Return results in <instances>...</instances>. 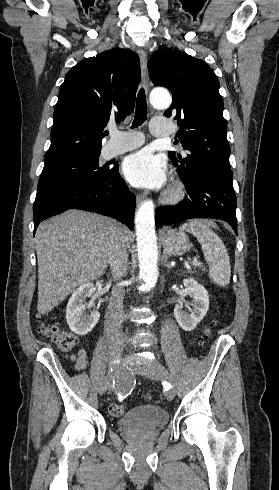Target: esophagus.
Here are the masks:
<instances>
[{
	"instance_id": "esophagus-1",
	"label": "esophagus",
	"mask_w": 279,
	"mask_h": 490,
	"mask_svg": "<svg viewBox=\"0 0 279 490\" xmlns=\"http://www.w3.org/2000/svg\"><path fill=\"white\" fill-rule=\"evenodd\" d=\"M138 55H139L140 64H141V74H142L143 87H144V90L146 91V93H148L149 87H150V82H149V75H148V70H147V54H146L145 50L140 48V50H138ZM144 200H145V197H143L141 195H137V197H136L137 206H140L144 202Z\"/></svg>"
}]
</instances>
